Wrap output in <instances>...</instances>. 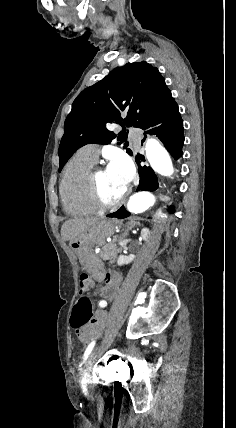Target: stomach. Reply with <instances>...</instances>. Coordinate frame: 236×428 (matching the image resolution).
Wrapping results in <instances>:
<instances>
[{"mask_svg": "<svg viewBox=\"0 0 236 428\" xmlns=\"http://www.w3.org/2000/svg\"><path fill=\"white\" fill-rule=\"evenodd\" d=\"M113 226L108 224L106 220H100L95 226H90L81 236L70 242L69 246L72 248L74 254L79 258L83 269H88L90 279L94 283L104 282V270L106 265L100 261L99 256H95L93 252L94 246H100L105 242L106 238L112 236Z\"/></svg>", "mask_w": 236, "mask_h": 428, "instance_id": "obj_1", "label": "stomach"}]
</instances>
